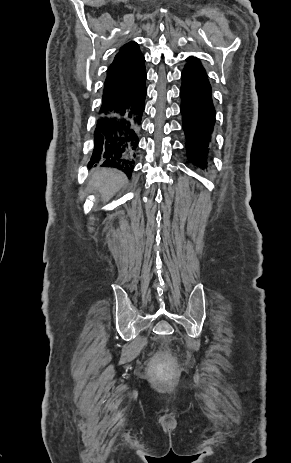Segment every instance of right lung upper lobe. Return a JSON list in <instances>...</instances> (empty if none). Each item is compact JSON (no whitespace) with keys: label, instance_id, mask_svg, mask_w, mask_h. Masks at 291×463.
<instances>
[{"label":"right lung upper lobe","instance_id":"cb5924a9","mask_svg":"<svg viewBox=\"0 0 291 463\" xmlns=\"http://www.w3.org/2000/svg\"><path fill=\"white\" fill-rule=\"evenodd\" d=\"M145 72V58L138 44L131 41L122 46L107 70L99 115L123 101L142 81Z\"/></svg>","mask_w":291,"mask_h":463}]
</instances>
